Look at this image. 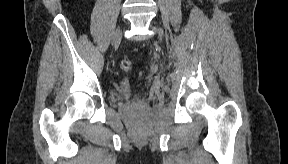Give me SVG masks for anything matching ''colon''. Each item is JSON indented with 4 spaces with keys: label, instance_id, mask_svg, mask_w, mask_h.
<instances>
[{
    "label": "colon",
    "instance_id": "obj_1",
    "mask_svg": "<svg viewBox=\"0 0 288 164\" xmlns=\"http://www.w3.org/2000/svg\"><path fill=\"white\" fill-rule=\"evenodd\" d=\"M120 66L123 70L128 71L132 67V62L128 58H124V59H122Z\"/></svg>",
    "mask_w": 288,
    "mask_h": 164
}]
</instances>
